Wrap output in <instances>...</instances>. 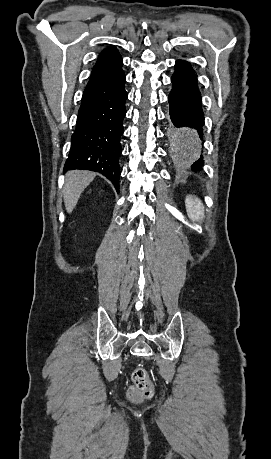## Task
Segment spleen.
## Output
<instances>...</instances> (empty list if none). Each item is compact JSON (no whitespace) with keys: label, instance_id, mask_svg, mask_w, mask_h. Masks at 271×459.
<instances>
[{"label":"spleen","instance_id":"3e777b00","mask_svg":"<svg viewBox=\"0 0 271 459\" xmlns=\"http://www.w3.org/2000/svg\"><path fill=\"white\" fill-rule=\"evenodd\" d=\"M185 204L187 208V214L190 220H193V222H198V220H200V216H204V210L202 206L198 208V206H196L197 202H194V200H189V198H186Z\"/></svg>","mask_w":271,"mask_h":459}]
</instances>
